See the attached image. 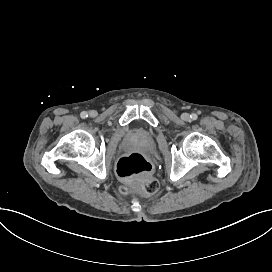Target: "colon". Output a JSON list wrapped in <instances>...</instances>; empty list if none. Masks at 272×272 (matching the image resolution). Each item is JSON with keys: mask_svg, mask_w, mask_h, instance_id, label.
Here are the masks:
<instances>
[{"mask_svg": "<svg viewBox=\"0 0 272 272\" xmlns=\"http://www.w3.org/2000/svg\"><path fill=\"white\" fill-rule=\"evenodd\" d=\"M150 170L151 163L140 153L122 157L116 166V171L123 180L140 179L138 184L144 193L155 195L159 191V182L150 175ZM121 189L126 191L129 187L122 186Z\"/></svg>", "mask_w": 272, "mask_h": 272, "instance_id": "colon-1", "label": "colon"}]
</instances>
